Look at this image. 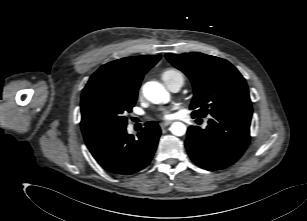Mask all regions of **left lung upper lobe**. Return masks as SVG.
<instances>
[{
    "label": "left lung upper lobe",
    "instance_id": "5c2ea615",
    "mask_svg": "<svg viewBox=\"0 0 307 221\" xmlns=\"http://www.w3.org/2000/svg\"><path fill=\"white\" fill-rule=\"evenodd\" d=\"M166 58L192 82L193 117L225 113L252 116L246 81L230 62L198 52L166 54Z\"/></svg>",
    "mask_w": 307,
    "mask_h": 221
}]
</instances>
